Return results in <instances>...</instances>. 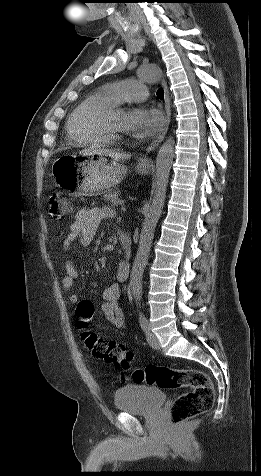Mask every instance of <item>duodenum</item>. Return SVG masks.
<instances>
[{"instance_id":"duodenum-1","label":"duodenum","mask_w":261,"mask_h":476,"mask_svg":"<svg viewBox=\"0 0 261 476\" xmlns=\"http://www.w3.org/2000/svg\"><path fill=\"white\" fill-rule=\"evenodd\" d=\"M118 240L125 256L129 258L131 255V248H132L131 238L129 237L127 233L121 231L118 233ZM123 264H124L123 269L129 272V263L123 262Z\"/></svg>"}]
</instances>
